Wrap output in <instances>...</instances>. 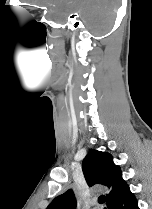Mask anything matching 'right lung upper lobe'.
<instances>
[{
    "label": "right lung upper lobe",
    "mask_w": 152,
    "mask_h": 209,
    "mask_svg": "<svg viewBox=\"0 0 152 209\" xmlns=\"http://www.w3.org/2000/svg\"><path fill=\"white\" fill-rule=\"evenodd\" d=\"M84 177L89 186L103 185L109 189L107 206L128 186L122 179V172L107 152L91 149L82 163ZM76 200L71 189L57 196L47 209H75Z\"/></svg>",
    "instance_id": "1"
}]
</instances>
